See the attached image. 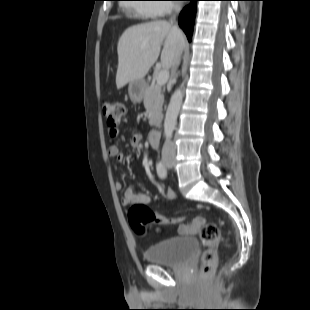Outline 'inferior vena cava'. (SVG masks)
<instances>
[{
	"label": "inferior vena cava",
	"mask_w": 310,
	"mask_h": 310,
	"mask_svg": "<svg viewBox=\"0 0 310 310\" xmlns=\"http://www.w3.org/2000/svg\"><path fill=\"white\" fill-rule=\"evenodd\" d=\"M180 10L179 7H176V11L178 12ZM173 20L171 19V22ZM179 62H180V55L176 58L174 64L172 65V72H175L177 66L179 65ZM175 153V149L174 147L172 146V144L170 142H166L163 146V149H162V155L163 156H167L169 154H174Z\"/></svg>",
	"instance_id": "1"
}]
</instances>
